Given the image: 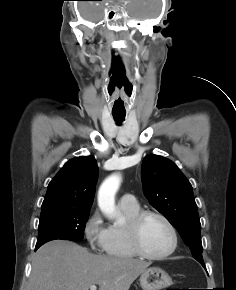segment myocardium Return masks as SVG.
Instances as JSON below:
<instances>
[{
  "mask_svg": "<svg viewBox=\"0 0 236 290\" xmlns=\"http://www.w3.org/2000/svg\"><path fill=\"white\" fill-rule=\"evenodd\" d=\"M151 216L159 218L167 226L172 237V244L170 248L161 254H150L142 245L141 228L145 219ZM127 234L131 247L136 255L148 260L166 259L176 251L178 246V234L175 226L164 214L155 210H141L129 219L127 223Z\"/></svg>",
  "mask_w": 236,
  "mask_h": 290,
  "instance_id": "obj_1",
  "label": "myocardium"
}]
</instances>
